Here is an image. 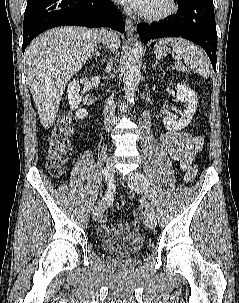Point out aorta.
<instances>
[{
  "label": "aorta",
  "mask_w": 239,
  "mask_h": 303,
  "mask_svg": "<svg viewBox=\"0 0 239 303\" xmlns=\"http://www.w3.org/2000/svg\"><path fill=\"white\" fill-rule=\"evenodd\" d=\"M142 51L141 42L136 41L125 58L123 83L127 100L130 103L134 102V96L141 80Z\"/></svg>",
  "instance_id": "obj_1"
}]
</instances>
